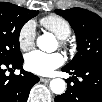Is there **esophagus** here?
Returning a JSON list of instances; mask_svg holds the SVG:
<instances>
[{
  "instance_id": "34e87169",
  "label": "esophagus",
  "mask_w": 102,
  "mask_h": 102,
  "mask_svg": "<svg viewBox=\"0 0 102 102\" xmlns=\"http://www.w3.org/2000/svg\"><path fill=\"white\" fill-rule=\"evenodd\" d=\"M40 81H41V82H44V83H48V82L51 81V78H43V77H41V78H40Z\"/></svg>"
}]
</instances>
